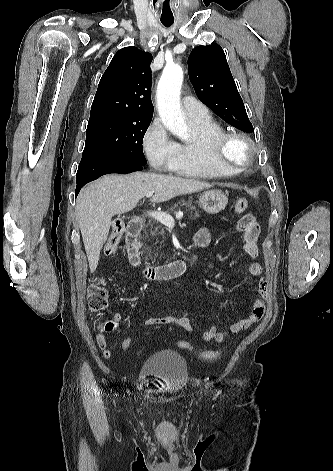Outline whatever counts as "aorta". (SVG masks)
Listing matches in <instances>:
<instances>
[{
	"mask_svg": "<svg viewBox=\"0 0 333 471\" xmlns=\"http://www.w3.org/2000/svg\"><path fill=\"white\" fill-rule=\"evenodd\" d=\"M183 70L177 65H167L157 87L158 112L163 125L181 140L188 138V127L180 107Z\"/></svg>",
	"mask_w": 333,
	"mask_h": 471,
	"instance_id": "obj_1",
	"label": "aorta"
}]
</instances>
